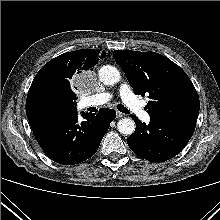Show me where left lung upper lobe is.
<instances>
[{
	"mask_svg": "<svg viewBox=\"0 0 220 220\" xmlns=\"http://www.w3.org/2000/svg\"><path fill=\"white\" fill-rule=\"evenodd\" d=\"M135 94L148 95L150 117L174 113L198 114L199 97L188 75L174 62L156 52L115 50Z\"/></svg>",
	"mask_w": 220,
	"mask_h": 220,
	"instance_id": "5c2ea615",
	"label": "left lung upper lobe"
}]
</instances>
